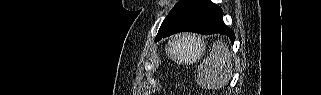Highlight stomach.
<instances>
[{"label": "stomach", "instance_id": "stomach-1", "mask_svg": "<svg viewBox=\"0 0 321 95\" xmlns=\"http://www.w3.org/2000/svg\"><path fill=\"white\" fill-rule=\"evenodd\" d=\"M167 54L180 62H193L205 52V43L192 35H182L168 43Z\"/></svg>", "mask_w": 321, "mask_h": 95}]
</instances>
